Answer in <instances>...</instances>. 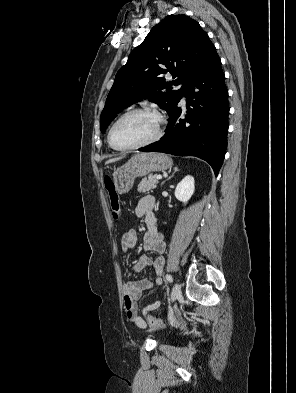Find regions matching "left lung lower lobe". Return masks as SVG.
Instances as JSON below:
<instances>
[{
	"mask_svg": "<svg viewBox=\"0 0 296 393\" xmlns=\"http://www.w3.org/2000/svg\"><path fill=\"white\" fill-rule=\"evenodd\" d=\"M183 95L187 102L185 119L180 118L181 109L176 106L164 137L139 151L196 156L207 161L217 176L227 148L229 106L216 49L187 82Z\"/></svg>",
	"mask_w": 296,
	"mask_h": 393,
	"instance_id": "obj_1",
	"label": "left lung lower lobe"
}]
</instances>
